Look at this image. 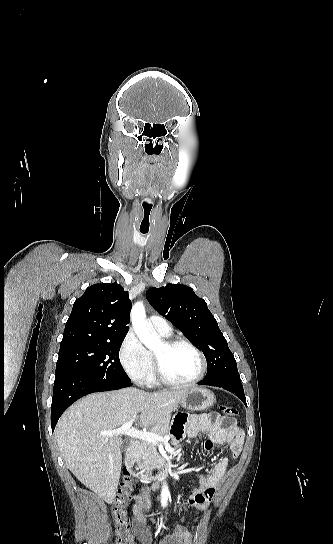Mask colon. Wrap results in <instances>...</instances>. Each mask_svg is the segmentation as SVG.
Masks as SVG:
<instances>
[{
  "instance_id": "obj_1",
  "label": "colon",
  "mask_w": 333,
  "mask_h": 544,
  "mask_svg": "<svg viewBox=\"0 0 333 544\" xmlns=\"http://www.w3.org/2000/svg\"><path fill=\"white\" fill-rule=\"evenodd\" d=\"M221 411L229 419H232L237 414V410L231 406H222ZM132 488L133 482L130 477L125 478L112 507L116 525L117 544H134L127 517V507L131 499Z\"/></svg>"
}]
</instances>
